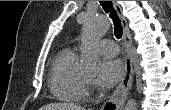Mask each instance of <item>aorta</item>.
<instances>
[{"label":"aorta","instance_id":"aorta-1","mask_svg":"<svg viewBox=\"0 0 171 110\" xmlns=\"http://www.w3.org/2000/svg\"><path fill=\"white\" fill-rule=\"evenodd\" d=\"M109 28L107 18L101 15L89 16L83 26L80 69L84 73H94L97 69L98 55L94 49L95 43ZM124 110H137L136 100L127 101Z\"/></svg>","mask_w":171,"mask_h":110}]
</instances>
